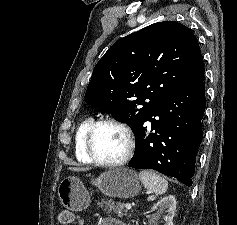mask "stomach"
<instances>
[{"label": "stomach", "mask_w": 237, "mask_h": 225, "mask_svg": "<svg viewBox=\"0 0 237 225\" xmlns=\"http://www.w3.org/2000/svg\"><path fill=\"white\" fill-rule=\"evenodd\" d=\"M104 195L122 199L132 198L141 190L137 174L127 168L109 169L96 179H92ZM58 197L61 204L75 212L85 210L90 203V197L82 181L74 176L64 178L58 186Z\"/></svg>", "instance_id": "obj_1"}]
</instances>
